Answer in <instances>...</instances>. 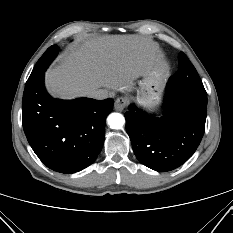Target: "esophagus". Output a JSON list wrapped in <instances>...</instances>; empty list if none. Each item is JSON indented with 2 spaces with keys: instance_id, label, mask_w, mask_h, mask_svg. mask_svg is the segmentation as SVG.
Segmentation results:
<instances>
[{
  "instance_id": "1",
  "label": "esophagus",
  "mask_w": 233,
  "mask_h": 233,
  "mask_svg": "<svg viewBox=\"0 0 233 233\" xmlns=\"http://www.w3.org/2000/svg\"><path fill=\"white\" fill-rule=\"evenodd\" d=\"M127 105V100L123 97L117 98L114 103V108L116 111H122Z\"/></svg>"
}]
</instances>
